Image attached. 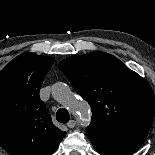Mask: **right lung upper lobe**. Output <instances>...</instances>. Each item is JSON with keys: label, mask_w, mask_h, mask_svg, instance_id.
Masks as SVG:
<instances>
[{"label": "right lung upper lobe", "mask_w": 155, "mask_h": 155, "mask_svg": "<svg viewBox=\"0 0 155 155\" xmlns=\"http://www.w3.org/2000/svg\"><path fill=\"white\" fill-rule=\"evenodd\" d=\"M53 62L23 53L0 71V146L10 155H50L65 137L39 96Z\"/></svg>", "instance_id": "right-lung-upper-lobe-1"}]
</instances>
